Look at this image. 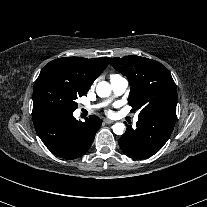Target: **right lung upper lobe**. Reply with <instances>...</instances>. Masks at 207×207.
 <instances>
[{"label": "right lung upper lobe", "instance_id": "cb5924a9", "mask_svg": "<svg viewBox=\"0 0 207 207\" xmlns=\"http://www.w3.org/2000/svg\"><path fill=\"white\" fill-rule=\"evenodd\" d=\"M107 65V57L96 59L63 57L49 62L40 75L45 72L57 74L78 92L85 94Z\"/></svg>", "mask_w": 207, "mask_h": 207}]
</instances>
